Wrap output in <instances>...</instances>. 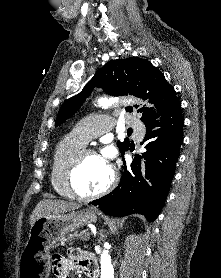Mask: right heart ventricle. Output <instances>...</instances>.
<instances>
[{"mask_svg":"<svg viewBox=\"0 0 221 278\" xmlns=\"http://www.w3.org/2000/svg\"><path fill=\"white\" fill-rule=\"evenodd\" d=\"M84 146L83 142L70 134L64 137L54 150L50 180L53 189L61 197L74 198L67 188L66 170L73 156Z\"/></svg>","mask_w":221,"mask_h":278,"instance_id":"right-heart-ventricle-1","label":"right heart ventricle"}]
</instances>
